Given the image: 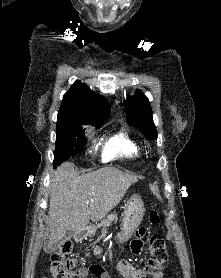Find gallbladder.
I'll return each mask as SVG.
<instances>
[{"mask_svg":"<svg viewBox=\"0 0 221 278\" xmlns=\"http://www.w3.org/2000/svg\"><path fill=\"white\" fill-rule=\"evenodd\" d=\"M72 236H73V232L72 231H67L66 234L63 236V238L59 241V244H62L64 242L70 240ZM59 244L55 245V249H57Z\"/></svg>","mask_w":221,"mask_h":278,"instance_id":"bac80fb5","label":"gallbladder"}]
</instances>
